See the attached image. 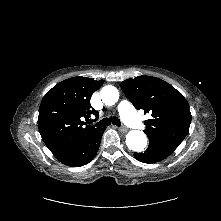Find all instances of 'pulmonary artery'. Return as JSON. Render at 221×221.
Masks as SVG:
<instances>
[{"label":"pulmonary artery","instance_id":"e3ab8cb5","mask_svg":"<svg viewBox=\"0 0 221 221\" xmlns=\"http://www.w3.org/2000/svg\"><path fill=\"white\" fill-rule=\"evenodd\" d=\"M118 111L122 120L129 126L142 129L144 127L143 120L137 115L131 103L127 100H122L118 104Z\"/></svg>","mask_w":221,"mask_h":221}]
</instances>
